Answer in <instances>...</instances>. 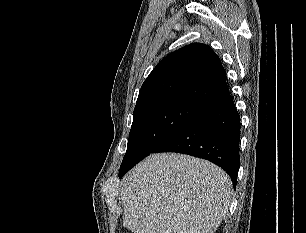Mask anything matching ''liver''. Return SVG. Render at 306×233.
Segmentation results:
<instances>
[{
    "instance_id": "6515ba94",
    "label": "liver",
    "mask_w": 306,
    "mask_h": 233,
    "mask_svg": "<svg viewBox=\"0 0 306 233\" xmlns=\"http://www.w3.org/2000/svg\"><path fill=\"white\" fill-rule=\"evenodd\" d=\"M232 194L230 177L215 164L152 154L122 182L123 225L132 233H214Z\"/></svg>"
}]
</instances>
